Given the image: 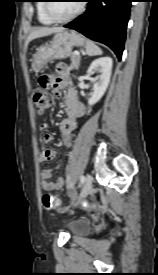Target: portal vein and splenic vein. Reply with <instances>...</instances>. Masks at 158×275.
Returning a JSON list of instances; mask_svg holds the SVG:
<instances>
[{
    "label": "portal vein and splenic vein",
    "instance_id": "portal-vein-and-splenic-vein-1",
    "mask_svg": "<svg viewBox=\"0 0 158 275\" xmlns=\"http://www.w3.org/2000/svg\"><path fill=\"white\" fill-rule=\"evenodd\" d=\"M74 53H75L76 55H78V56L80 55V53H79L78 51H75Z\"/></svg>",
    "mask_w": 158,
    "mask_h": 275
}]
</instances>
